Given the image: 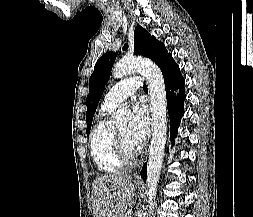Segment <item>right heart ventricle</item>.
<instances>
[{
	"mask_svg": "<svg viewBox=\"0 0 253 217\" xmlns=\"http://www.w3.org/2000/svg\"><path fill=\"white\" fill-rule=\"evenodd\" d=\"M112 109L101 107L100 117L94 125L90 135V151L97 168L108 174L120 172L123 162L114 152L112 144V128L109 126L108 117Z\"/></svg>",
	"mask_w": 253,
	"mask_h": 217,
	"instance_id": "right-heart-ventricle-1",
	"label": "right heart ventricle"
}]
</instances>
